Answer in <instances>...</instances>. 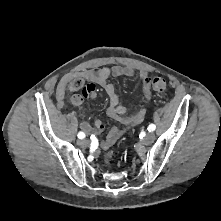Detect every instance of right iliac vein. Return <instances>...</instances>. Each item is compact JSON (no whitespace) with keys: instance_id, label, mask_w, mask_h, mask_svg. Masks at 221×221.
Masks as SVG:
<instances>
[{"instance_id":"1","label":"right iliac vein","mask_w":221,"mask_h":221,"mask_svg":"<svg viewBox=\"0 0 221 221\" xmlns=\"http://www.w3.org/2000/svg\"><path fill=\"white\" fill-rule=\"evenodd\" d=\"M78 145L81 147H87L89 145V140L87 139L79 140Z\"/></svg>"}]
</instances>
